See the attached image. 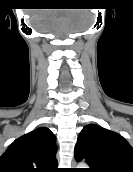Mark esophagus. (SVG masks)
I'll return each mask as SVG.
<instances>
[{
  "instance_id": "34e87169",
  "label": "esophagus",
  "mask_w": 133,
  "mask_h": 172,
  "mask_svg": "<svg viewBox=\"0 0 133 172\" xmlns=\"http://www.w3.org/2000/svg\"><path fill=\"white\" fill-rule=\"evenodd\" d=\"M72 165H73V166H75V165H76V162H75V160H73V162H72Z\"/></svg>"
}]
</instances>
